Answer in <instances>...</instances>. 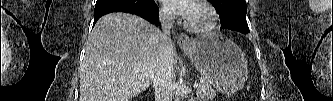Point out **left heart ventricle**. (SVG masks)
Returning a JSON list of instances; mask_svg holds the SVG:
<instances>
[{
    "instance_id": "obj_1",
    "label": "left heart ventricle",
    "mask_w": 333,
    "mask_h": 101,
    "mask_svg": "<svg viewBox=\"0 0 333 101\" xmlns=\"http://www.w3.org/2000/svg\"><path fill=\"white\" fill-rule=\"evenodd\" d=\"M187 19L195 25H205L209 22V15L202 7L193 5Z\"/></svg>"
}]
</instances>
